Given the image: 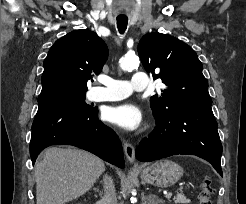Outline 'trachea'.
Returning <instances> with one entry per match:
<instances>
[{"label": "trachea", "instance_id": "trachea-1", "mask_svg": "<svg viewBox=\"0 0 246 204\" xmlns=\"http://www.w3.org/2000/svg\"><path fill=\"white\" fill-rule=\"evenodd\" d=\"M128 19L117 17V28L120 34H123L127 29Z\"/></svg>", "mask_w": 246, "mask_h": 204}]
</instances>
